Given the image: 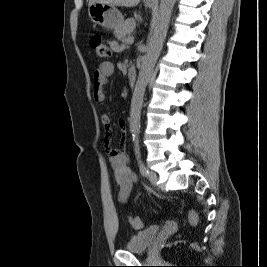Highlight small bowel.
I'll return each instance as SVG.
<instances>
[{
    "label": "small bowel",
    "instance_id": "obj_1",
    "mask_svg": "<svg viewBox=\"0 0 267 267\" xmlns=\"http://www.w3.org/2000/svg\"><path fill=\"white\" fill-rule=\"evenodd\" d=\"M111 46L115 50H119L120 47L116 42H111ZM114 73V65L111 62H103L94 71L93 75V98L97 102H102L105 100V85L108 78ZM101 123L105 130V144L107 151L109 153L110 162L115 173V180L119 186V200L121 202H126L130 196L132 188L135 183H137V175L129 167V159L125 153V139H126V121L120 118L118 121L119 128L121 130V140L120 146L118 148H111V119L108 114L101 115Z\"/></svg>",
    "mask_w": 267,
    "mask_h": 267
}]
</instances>
